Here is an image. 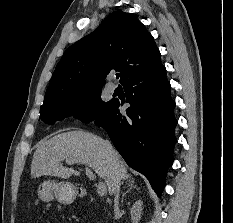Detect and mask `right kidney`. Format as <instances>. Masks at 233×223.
I'll list each match as a JSON object with an SVG mask.
<instances>
[{
	"instance_id": "1",
	"label": "right kidney",
	"mask_w": 233,
	"mask_h": 223,
	"mask_svg": "<svg viewBox=\"0 0 233 223\" xmlns=\"http://www.w3.org/2000/svg\"><path fill=\"white\" fill-rule=\"evenodd\" d=\"M142 209H143V201H141V199H137L134 205L130 207L132 223H138L139 219H141Z\"/></svg>"
}]
</instances>
